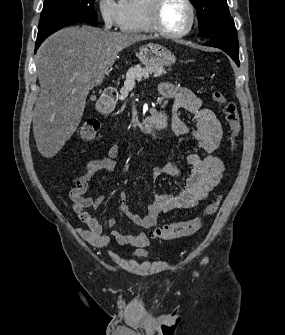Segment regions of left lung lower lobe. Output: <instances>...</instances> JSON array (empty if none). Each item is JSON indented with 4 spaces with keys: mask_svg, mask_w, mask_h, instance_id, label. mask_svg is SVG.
Returning <instances> with one entry per match:
<instances>
[{
    "mask_svg": "<svg viewBox=\"0 0 285 335\" xmlns=\"http://www.w3.org/2000/svg\"><path fill=\"white\" fill-rule=\"evenodd\" d=\"M207 46L220 48L225 51L239 66V46L237 32L212 34Z\"/></svg>",
    "mask_w": 285,
    "mask_h": 335,
    "instance_id": "1",
    "label": "left lung lower lobe"
}]
</instances>
